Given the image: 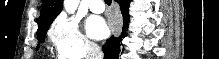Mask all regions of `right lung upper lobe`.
<instances>
[{"mask_svg":"<svg viewBox=\"0 0 219 59\" xmlns=\"http://www.w3.org/2000/svg\"><path fill=\"white\" fill-rule=\"evenodd\" d=\"M63 8V0H43L38 19V28L50 26Z\"/></svg>","mask_w":219,"mask_h":59,"instance_id":"1","label":"right lung upper lobe"}]
</instances>
